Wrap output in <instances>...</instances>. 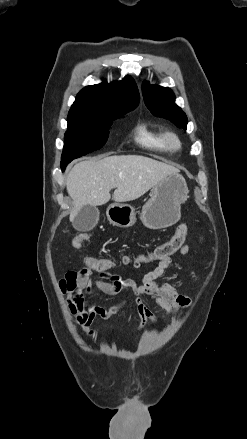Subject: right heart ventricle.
I'll list each match as a JSON object with an SVG mask.
<instances>
[{"label": "right heart ventricle", "mask_w": 247, "mask_h": 439, "mask_svg": "<svg viewBox=\"0 0 247 439\" xmlns=\"http://www.w3.org/2000/svg\"><path fill=\"white\" fill-rule=\"evenodd\" d=\"M134 141L153 151L166 152L168 147L165 142V133L146 121H139L133 132Z\"/></svg>", "instance_id": "e07e8e85"}]
</instances>
